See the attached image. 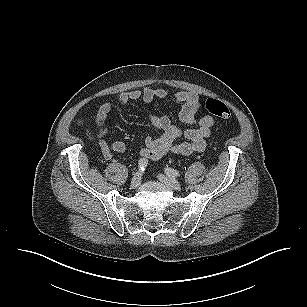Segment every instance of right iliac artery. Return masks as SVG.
I'll use <instances>...</instances> for the list:
<instances>
[{
    "instance_id": "obj_1",
    "label": "right iliac artery",
    "mask_w": 307,
    "mask_h": 307,
    "mask_svg": "<svg viewBox=\"0 0 307 307\" xmlns=\"http://www.w3.org/2000/svg\"><path fill=\"white\" fill-rule=\"evenodd\" d=\"M148 165V160L147 159H140L139 162H138V169L139 171H144L145 168L147 167Z\"/></svg>"
}]
</instances>
